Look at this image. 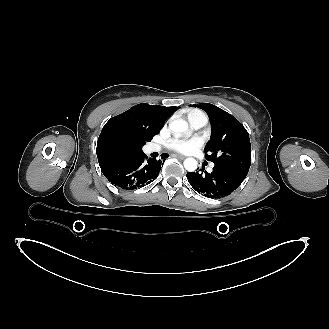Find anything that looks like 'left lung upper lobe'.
Listing matches in <instances>:
<instances>
[{
  "label": "left lung upper lobe",
  "mask_w": 329,
  "mask_h": 329,
  "mask_svg": "<svg viewBox=\"0 0 329 329\" xmlns=\"http://www.w3.org/2000/svg\"><path fill=\"white\" fill-rule=\"evenodd\" d=\"M203 109L211 121V137L204 152L216 166L235 171L246 177L251 164L249 134L231 114L210 103L193 104Z\"/></svg>",
  "instance_id": "5c2ea615"
}]
</instances>
